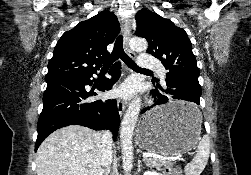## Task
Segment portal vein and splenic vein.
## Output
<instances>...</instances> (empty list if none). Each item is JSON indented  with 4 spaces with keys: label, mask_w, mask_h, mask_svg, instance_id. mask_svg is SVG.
<instances>
[{
    "label": "portal vein and splenic vein",
    "mask_w": 251,
    "mask_h": 175,
    "mask_svg": "<svg viewBox=\"0 0 251 175\" xmlns=\"http://www.w3.org/2000/svg\"><path fill=\"white\" fill-rule=\"evenodd\" d=\"M143 157L162 158L163 160H170L171 162L182 161L180 155H173L171 153H143ZM84 175H87V173H84Z\"/></svg>",
    "instance_id": "1"
}]
</instances>
